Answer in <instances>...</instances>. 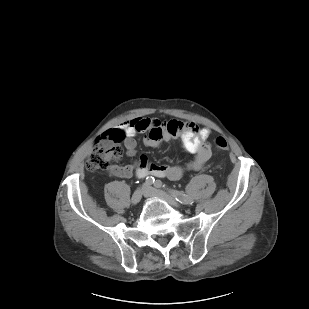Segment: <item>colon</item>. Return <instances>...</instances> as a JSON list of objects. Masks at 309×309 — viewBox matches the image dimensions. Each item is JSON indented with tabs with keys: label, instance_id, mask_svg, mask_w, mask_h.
<instances>
[{
	"label": "colon",
	"instance_id": "5ec220e1",
	"mask_svg": "<svg viewBox=\"0 0 309 309\" xmlns=\"http://www.w3.org/2000/svg\"><path fill=\"white\" fill-rule=\"evenodd\" d=\"M123 137L121 132L114 131L96 140L92 144L87 158V169L96 171L111 168L112 163L123 155V149L120 145ZM215 144L219 150L228 149V143L223 137H218Z\"/></svg>",
	"mask_w": 309,
	"mask_h": 309
}]
</instances>
